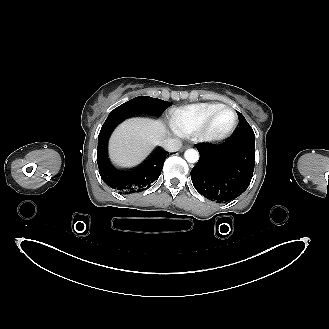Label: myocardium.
I'll list each match as a JSON object with an SVG mask.
<instances>
[{
	"label": "myocardium",
	"instance_id": "myocardium-1",
	"mask_svg": "<svg viewBox=\"0 0 329 329\" xmlns=\"http://www.w3.org/2000/svg\"><path fill=\"white\" fill-rule=\"evenodd\" d=\"M224 110H230L233 112V114H234L233 125L227 132H225L223 134H219V135L212 134L210 132L211 125H212L214 119L216 118V116ZM238 122H239V117H238V112L236 111V109L231 106L223 105V106L219 107L218 109H216L215 111H213L206 118V120L196 130L195 136L198 140L203 141V142H218V141L224 140V139L228 138L229 136H231L234 133V131L236 130Z\"/></svg>",
	"mask_w": 329,
	"mask_h": 329
}]
</instances>
